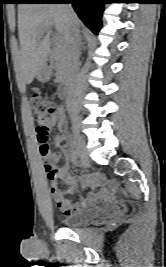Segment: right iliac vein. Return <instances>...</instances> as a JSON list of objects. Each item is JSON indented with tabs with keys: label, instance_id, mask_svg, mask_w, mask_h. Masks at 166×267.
<instances>
[{
	"label": "right iliac vein",
	"instance_id": "1",
	"mask_svg": "<svg viewBox=\"0 0 166 267\" xmlns=\"http://www.w3.org/2000/svg\"><path fill=\"white\" fill-rule=\"evenodd\" d=\"M73 143L75 145V148L78 152V155H79L82 163L84 165H88V163H89L88 153H87V150L85 148V144H84L82 138L75 134L73 137Z\"/></svg>",
	"mask_w": 166,
	"mask_h": 267
}]
</instances>
